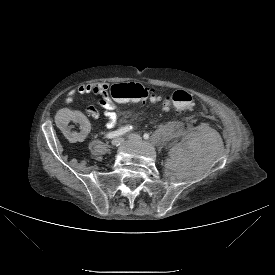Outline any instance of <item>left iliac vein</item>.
Masks as SVG:
<instances>
[{"instance_id":"left-iliac-vein-1","label":"left iliac vein","mask_w":275,"mask_h":275,"mask_svg":"<svg viewBox=\"0 0 275 275\" xmlns=\"http://www.w3.org/2000/svg\"><path fill=\"white\" fill-rule=\"evenodd\" d=\"M128 138H129L130 140H136V141H140V140H141L140 135L135 134V133L129 134V135H128Z\"/></svg>"}]
</instances>
